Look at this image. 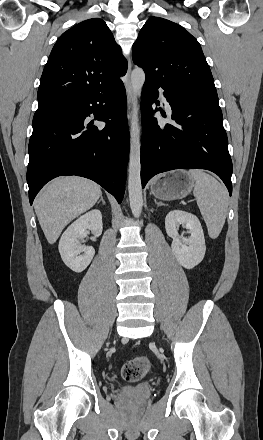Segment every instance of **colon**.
<instances>
[{
    "instance_id": "obj_1",
    "label": "colon",
    "mask_w": 263,
    "mask_h": 440,
    "mask_svg": "<svg viewBox=\"0 0 263 440\" xmlns=\"http://www.w3.org/2000/svg\"><path fill=\"white\" fill-rule=\"evenodd\" d=\"M151 365L149 357L137 356L122 366L121 376L127 382H137L148 373Z\"/></svg>"
}]
</instances>
